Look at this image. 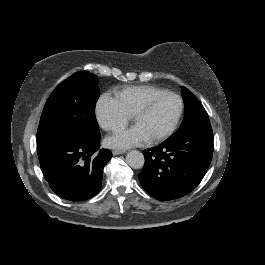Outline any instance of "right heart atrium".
I'll use <instances>...</instances> for the list:
<instances>
[{"mask_svg":"<svg viewBox=\"0 0 265 265\" xmlns=\"http://www.w3.org/2000/svg\"><path fill=\"white\" fill-rule=\"evenodd\" d=\"M95 117L100 127L106 131L119 130L128 121L119 100L112 94L100 97L95 107Z\"/></svg>","mask_w":265,"mask_h":265,"instance_id":"right-heart-atrium-1","label":"right heart atrium"}]
</instances>
